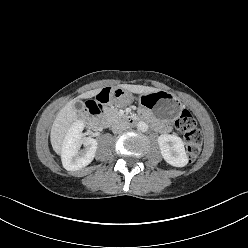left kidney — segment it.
<instances>
[{"instance_id":"left-kidney-1","label":"left kidney","mask_w":248,"mask_h":248,"mask_svg":"<svg viewBox=\"0 0 248 248\" xmlns=\"http://www.w3.org/2000/svg\"><path fill=\"white\" fill-rule=\"evenodd\" d=\"M158 144L164 160L172 166L184 167L188 163L182 139L176 135H160Z\"/></svg>"}]
</instances>
